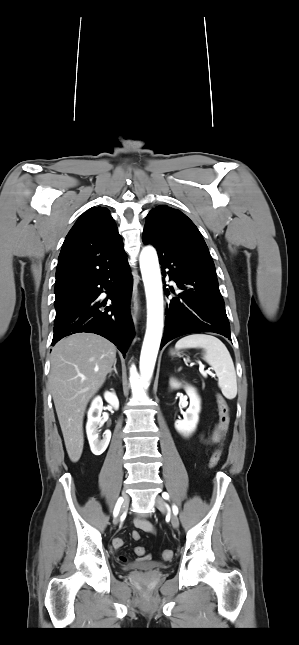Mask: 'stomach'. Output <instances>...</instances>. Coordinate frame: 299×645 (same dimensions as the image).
<instances>
[{
	"instance_id": "0dacf381",
	"label": "stomach",
	"mask_w": 299,
	"mask_h": 645,
	"mask_svg": "<svg viewBox=\"0 0 299 645\" xmlns=\"http://www.w3.org/2000/svg\"><path fill=\"white\" fill-rule=\"evenodd\" d=\"M172 355H175V352H171Z\"/></svg>"
}]
</instances>
